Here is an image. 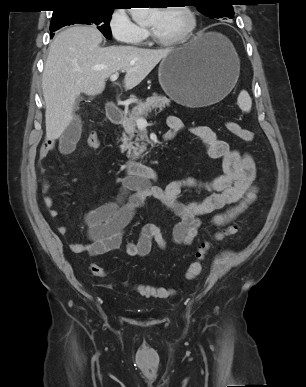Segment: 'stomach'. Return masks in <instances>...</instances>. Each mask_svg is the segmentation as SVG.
Instances as JSON below:
<instances>
[{
    "instance_id": "stomach-1",
    "label": "stomach",
    "mask_w": 306,
    "mask_h": 387,
    "mask_svg": "<svg viewBox=\"0 0 306 387\" xmlns=\"http://www.w3.org/2000/svg\"><path fill=\"white\" fill-rule=\"evenodd\" d=\"M239 73L232 43L219 33L200 32L161 61L158 76L171 99L188 107H203L227 96Z\"/></svg>"
}]
</instances>
